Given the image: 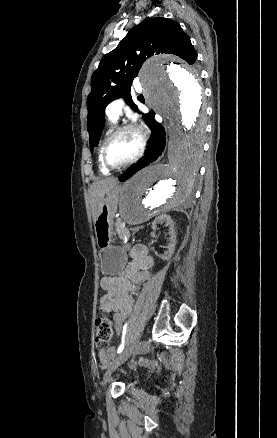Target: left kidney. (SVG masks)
<instances>
[{"label": "left kidney", "instance_id": "left-kidney-1", "mask_svg": "<svg viewBox=\"0 0 277 438\" xmlns=\"http://www.w3.org/2000/svg\"><path fill=\"white\" fill-rule=\"evenodd\" d=\"M161 222H165L166 226H169L170 244L168 246V252H165V254H161L159 258H161V260H171L177 242L174 222L169 214H161V216L155 218L152 224V230H157V224H161Z\"/></svg>", "mask_w": 277, "mask_h": 438}]
</instances>
